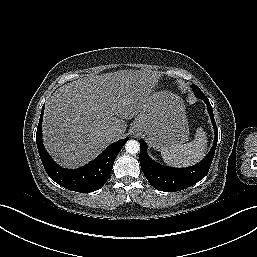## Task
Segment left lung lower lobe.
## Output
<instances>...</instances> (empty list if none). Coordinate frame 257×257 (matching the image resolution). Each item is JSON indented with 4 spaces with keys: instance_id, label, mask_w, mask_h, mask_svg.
<instances>
[{
    "instance_id": "left-lung-lower-lobe-1",
    "label": "left lung lower lobe",
    "mask_w": 257,
    "mask_h": 257,
    "mask_svg": "<svg viewBox=\"0 0 257 257\" xmlns=\"http://www.w3.org/2000/svg\"><path fill=\"white\" fill-rule=\"evenodd\" d=\"M194 86H192L193 88ZM194 91V90H193ZM197 98L202 99L206 105L207 110L209 112L211 122L214 127L215 132V139L214 144L208 155L198 164L187 167V168H172L162 166L156 162H154L148 155H147V145L143 140H140V165L144 175L146 176L149 183L156 189L165 192H173V191H180L186 189L200 180H202L208 173L217 141H218V131L217 126L214 120L212 106L208 100V98L201 92H194Z\"/></svg>"
}]
</instances>
